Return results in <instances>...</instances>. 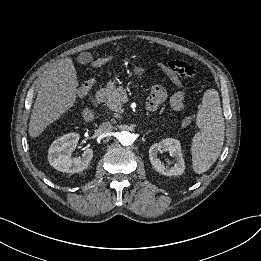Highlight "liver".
Here are the masks:
<instances>
[{"label": "liver", "mask_w": 261, "mask_h": 261, "mask_svg": "<svg viewBox=\"0 0 261 261\" xmlns=\"http://www.w3.org/2000/svg\"><path fill=\"white\" fill-rule=\"evenodd\" d=\"M77 75L70 57L61 60L43 79L32 110L29 135L38 137L43 130L73 107L77 94ZM94 118L88 109L86 121Z\"/></svg>", "instance_id": "obj_1"}]
</instances>
